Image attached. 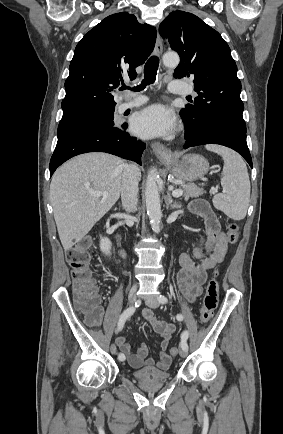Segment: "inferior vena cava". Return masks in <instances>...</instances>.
I'll list each match as a JSON object with an SVG mask.
<instances>
[{"instance_id": "1", "label": "inferior vena cava", "mask_w": 283, "mask_h": 434, "mask_svg": "<svg viewBox=\"0 0 283 434\" xmlns=\"http://www.w3.org/2000/svg\"><path fill=\"white\" fill-rule=\"evenodd\" d=\"M122 206L127 212H135L138 202V168L124 164L121 185Z\"/></svg>"}]
</instances>
